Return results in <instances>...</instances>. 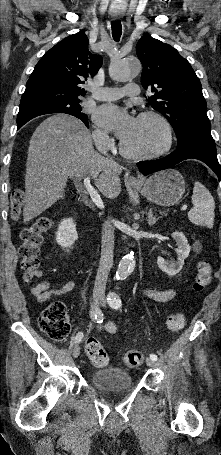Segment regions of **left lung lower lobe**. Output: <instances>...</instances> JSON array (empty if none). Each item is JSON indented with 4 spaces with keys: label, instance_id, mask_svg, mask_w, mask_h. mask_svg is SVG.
I'll use <instances>...</instances> for the list:
<instances>
[{
    "label": "left lung lower lobe",
    "instance_id": "1",
    "mask_svg": "<svg viewBox=\"0 0 221 455\" xmlns=\"http://www.w3.org/2000/svg\"><path fill=\"white\" fill-rule=\"evenodd\" d=\"M198 159L206 163L221 180V165L217 159L215 141L212 137L201 135L189 136L177 145V149L168 156L151 161L138 162L143 175L170 168L186 159Z\"/></svg>",
    "mask_w": 221,
    "mask_h": 455
}]
</instances>
